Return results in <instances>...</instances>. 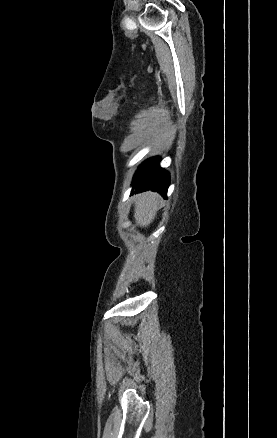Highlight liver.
<instances>
[{
  "label": "liver",
  "instance_id": "liver-1",
  "mask_svg": "<svg viewBox=\"0 0 277 438\" xmlns=\"http://www.w3.org/2000/svg\"><path fill=\"white\" fill-rule=\"evenodd\" d=\"M159 200L158 194H153V192L135 196L134 218L140 228H147L153 222Z\"/></svg>",
  "mask_w": 277,
  "mask_h": 438
}]
</instances>
